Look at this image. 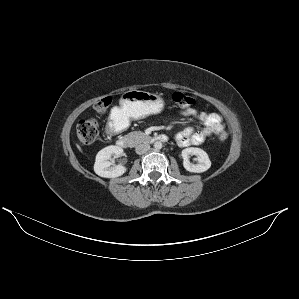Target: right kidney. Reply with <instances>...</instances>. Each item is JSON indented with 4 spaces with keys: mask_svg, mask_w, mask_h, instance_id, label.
<instances>
[{
    "mask_svg": "<svg viewBox=\"0 0 299 299\" xmlns=\"http://www.w3.org/2000/svg\"><path fill=\"white\" fill-rule=\"evenodd\" d=\"M123 153V149L118 146L110 145L101 149L95 159L94 171L97 175L104 178H116L123 175L127 168L123 165H113L110 161L112 154L120 156Z\"/></svg>",
    "mask_w": 299,
    "mask_h": 299,
    "instance_id": "1",
    "label": "right kidney"
}]
</instances>
